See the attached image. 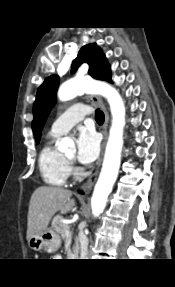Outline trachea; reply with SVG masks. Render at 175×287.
Here are the masks:
<instances>
[{
	"label": "trachea",
	"instance_id": "obj_1",
	"mask_svg": "<svg viewBox=\"0 0 175 287\" xmlns=\"http://www.w3.org/2000/svg\"><path fill=\"white\" fill-rule=\"evenodd\" d=\"M95 119L98 123L104 122L105 116H104L103 112L100 111L99 109L96 110Z\"/></svg>",
	"mask_w": 175,
	"mask_h": 287
}]
</instances>
